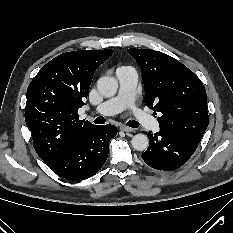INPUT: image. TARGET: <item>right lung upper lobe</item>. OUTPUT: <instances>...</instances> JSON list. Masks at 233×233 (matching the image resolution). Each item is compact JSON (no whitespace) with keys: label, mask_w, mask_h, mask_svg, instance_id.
I'll return each mask as SVG.
<instances>
[{"label":"right lung upper lobe","mask_w":233,"mask_h":233,"mask_svg":"<svg viewBox=\"0 0 233 233\" xmlns=\"http://www.w3.org/2000/svg\"><path fill=\"white\" fill-rule=\"evenodd\" d=\"M113 50H78L63 53L46 65L27 89L25 121L33 146L47 162L96 125L79 120L96 69Z\"/></svg>","instance_id":"obj_1"}]
</instances>
